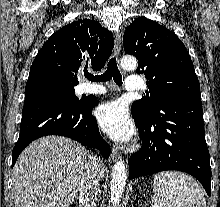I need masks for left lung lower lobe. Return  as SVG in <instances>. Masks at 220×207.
<instances>
[{"label":"left lung lower lobe","mask_w":220,"mask_h":207,"mask_svg":"<svg viewBox=\"0 0 220 207\" xmlns=\"http://www.w3.org/2000/svg\"><path fill=\"white\" fill-rule=\"evenodd\" d=\"M132 116L142 147L128 161L130 178L179 170L198 179L210 196L211 167L200 96L166 102L161 111L148 120Z\"/></svg>","instance_id":"obj_1"}]
</instances>
